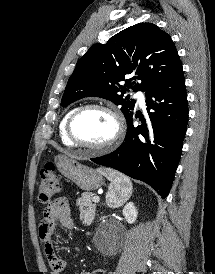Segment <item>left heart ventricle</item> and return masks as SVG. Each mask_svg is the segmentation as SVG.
<instances>
[{
  "instance_id": "1",
  "label": "left heart ventricle",
  "mask_w": 215,
  "mask_h": 274,
  "mask_svg": "<svg viewBox=\"0 0 215 274\" xmlns=\"http://www.w3.org/2000/svg\"><path fill=\"white\" fill-rule=\"evenodd\" d=\"M73 129L82 142L99 145L113 136L115 122L109 113L99 109H89L77 117Z\"/></svg>"
}]
</instances>
